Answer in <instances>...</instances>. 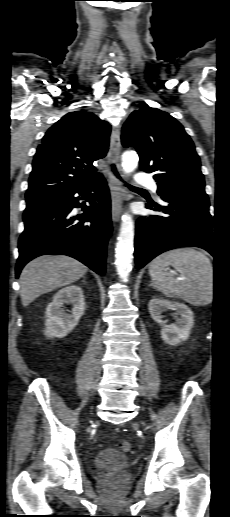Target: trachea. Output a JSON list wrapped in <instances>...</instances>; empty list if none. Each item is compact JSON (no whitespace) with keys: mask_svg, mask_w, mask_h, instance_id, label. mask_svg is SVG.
<instances>
[{"mask_svg":"<svg viewBox=\"0 0 230 517\" xmlns=\"http://www.w3.org/2000/svg\"><path fill=\"white\" fill-rule=\"evenodd\" d=\"M112 170H113L114 174L116 175V177H117V178H120V177H119V175H118V173L116 172V168H115V166H114L113 164H112ZM127 186H128V187H130V188H135V187H133V186H131V185H129V184H127Z\"/></svg>","mask_w":230,"mask_h":517,"instance_id":"trachea-1","label":"trachea"}]
</instances>
